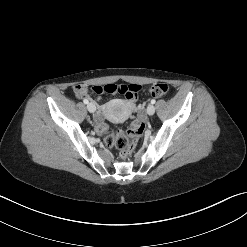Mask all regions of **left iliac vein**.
Listing matches in <instances>:
<instances>
[{"instance_id": "left-iliac-vein-1", "label": "left iliac vein", "mask_w": 247, "mask_h": 247, "mask_svg": "<svg viewBox=\"0 0 247 247\" xmlns=\"http://www.w3.org/2000/svg\"><path fill=\"white\" fill-rule=\"evenodd\" d=\"M147 113L149 115H153L155 113V107L152 104L148 105V107H147Z\"/></svg>"}]
</instances>
